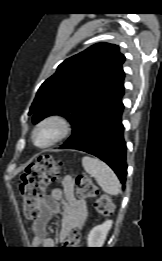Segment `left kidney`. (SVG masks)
Returning a JSON list of instances; mask_svg holds the SVG:
<instances>
[{
  "instance_id": "1",
  "label": "left kidney",
  "mask_w": 162,
  "mask_h": 261,
  "mask_svg": "<svg viewBox=\"0 0 162 261\" xmlns=\"http://www.w3.org/2000/svg\"><path fill=\"white\" fill-rule=\"evenodd\" d=\"M112 220H107L101 225L95 226L87 237V245L90 248L102 247L109 230L112 227Z\"/></svg>"
}]
</instances>
